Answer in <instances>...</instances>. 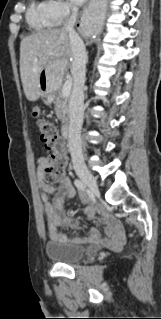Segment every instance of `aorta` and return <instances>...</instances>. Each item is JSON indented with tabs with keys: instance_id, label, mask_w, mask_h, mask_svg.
Masks as SVG:
<instances>
[{
	"instance_id": "aorta-1",
	"label": "aorta",
	"mask_w": 161,
	"mask_h": 319,
	"mask_svg": "<svg viewBox=\"0 0 161 319\" xmlns=\"http://www.w3.org/2000/svg\"><path fill=\"white\" fill-rule=\"evenodd\" d=\"M87 18H89V15H87ZM88 25H89V29L91 30V31H96L97 30V26H98V24H97V22H94L93 20H88Z\"/></svg>"
}]
</instances>
